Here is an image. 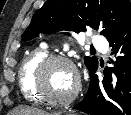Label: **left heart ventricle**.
Wrapping results in <instances>:
<instances>
[{
	"instance_id": "obj_1",
	"label": "left heart ventricle",
	"mask_w": 131,
	"mask_h": 115,
	"mask_svg": "<svg viewBox=\"0 0 131 115\" xmlns=\"http://www.w3.org/2000/svg\"><path fill=\"white\" fill-rule=\"evenodd\" d=\"M75 77L71 68L63 63L49 67L46 73V90L54 98H65L73 90Z\"/></svg>"
}]
</instances>
